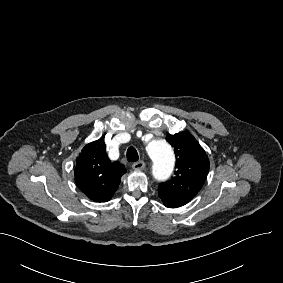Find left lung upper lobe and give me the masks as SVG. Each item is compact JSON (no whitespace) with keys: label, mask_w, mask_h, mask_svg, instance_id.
I'll return each mask as SVG.
<instances>
[{"label":"left lung upper lobe","mask_w":283,"mask_h":283,"mask_svg":"<svg viewBox=\"0 0 283 283\" xmlns=\"http://www.w3.org/2000/svg\"><path fill=\"white\" fill-rule=\"evenodd\" d=\"M166 140L174 147L177 170L171 180L159 185L158 195L166 207L177 208L187 204L200 191L210 163L190 133L168 134Z\"/></svg>","instance_id":"obj_1"}]
</instances>
